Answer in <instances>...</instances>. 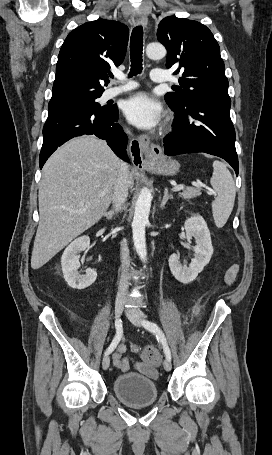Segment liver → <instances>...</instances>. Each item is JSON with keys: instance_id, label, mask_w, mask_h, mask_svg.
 Listing matches in <instances>:
<instances>
[{"instance_id": "1", "label": "liver", "mask_w": 272, "mask_h": 455, "mask_svg": "<svg viewBox=\"0 0 272 455\" xmlns=\"http://www.w3.org/2000/svg\"><path fill=\"white\" fill-rule=\"evenodd\" d=\"M121 161L94 136L74 138L47 160L39 187L40 221L31 267L45 265L97 223L110 205ZM134 180L129 175V186Z\"/></svg>"}]
</instances>
